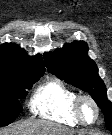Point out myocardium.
Here are the masks:
<instances>
[{
	"instance_id": "obj_1",
	"label": "myocardium",
	"mask_w": 112,
	"mask_h": 135,
	"mask_svg": "<svg viewBox=\"0 0 112 135\" xmlns=\"http://www.w3.org/2000/svg\"><path fill=\"white\" fill-rule=\"evenodd\" d=\"M84 102H89L94 110H95V119L92 122H88L84 119L83 114H82V105ZM73 108H74V114L79 121L80 124L85 125V126H90L95 124L99 117H100V107L96 100L89 94H79L76 95L73 103Z\"/></svg>"
}]
</instances>
